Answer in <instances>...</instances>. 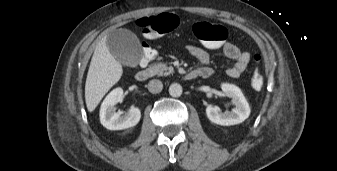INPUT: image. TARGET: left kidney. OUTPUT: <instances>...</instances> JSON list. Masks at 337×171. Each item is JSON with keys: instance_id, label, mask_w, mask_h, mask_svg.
Wrapping results in <instances>:
<instances>
[{"instance_id": "obj_1", "label": "left kidney", "mask_w": 337, "mask_h": 171, "mask_svg": "<svg viewBox=\"0 0 337 171\" xmlns=\"http://www.w3.org/2000/svg\"><path fill=\"white\" fill-rule=\"evenodd\" d=\"M222 91L226 96L232 98L235 108L222 113L219 107L209 105L206 108L208 119L223 126L242 123L250 115V107L242 91L239 87L227 83L222 85Z\"/></svg>"}]
</instances>
